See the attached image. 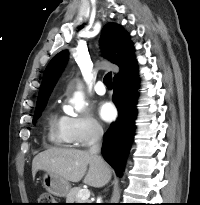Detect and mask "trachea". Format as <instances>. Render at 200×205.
<instances>
[{
    "label": "trachea",
    "instance_id": "obj_1",
    "mask_svg": "<svg viewBox=\"0 0 200 205\" xmlns=\"http://www.w3.org/2000/svg\"><path fill=\"white\" fill-rule=\"evenodd\" d=\"M103 82L107 87H112L113 84H112V73L111 72L107 73L104 76Z\"/></svg>",
    "mask_w": 200,
    "mask_h": 205
}]
</instances>
